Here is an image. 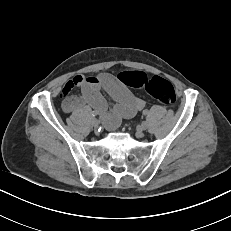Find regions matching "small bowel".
Wrapping results in <instances>:
<instances>
[{"instance_id": "obj_1", "label": "small bowel", "mask_w": 231, "mask_h": 231, "mask_svg": "<svg viewBox=\"0 0 231 231\" xmlns=\"http://www.w3.org/2000/svg\"><path fill=\"white\" fill-rule=\"evenodd\" d=\"M74 88L81 89L80 96L71 93ZM105 96L111 99V104ZM61 98L65 112L89 106L100 115L108 129H115L122 119L132 118L146 105L144 100L136 97L117 77L108 73L74 76L64 84Z\"/></svg>"}]
</instances>
